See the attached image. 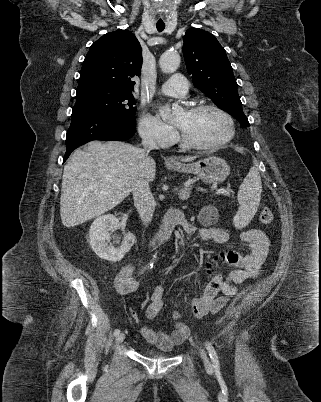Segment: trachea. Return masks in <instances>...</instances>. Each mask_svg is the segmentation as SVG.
<instances>
[{"label": "trachea", "instance_id": "1", "mask_svg": "<svg viewBox=\"0 0 321 402\" xmlns=\"http://www.w3.org/2000/svg\"><path fill=\"white\" fill-rule=\"evenodd\" d=\"M156 28L159 32H162L165 29V24H156Z\"/></svg>", "mask_w": 321, "mask_h": 402}]
</instances>
